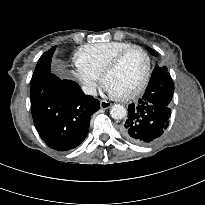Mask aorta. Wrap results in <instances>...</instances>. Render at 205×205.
<instances>
[{
    "instance_id": "1",
    "label": "aorta",
    "mask_w": 205,
    "mask_h": 205,
    "mask_svg": "<svg viewBox=\"0 0 205 205\" xmlns=\"http://www.w3.org/2000/svg\"><path fill=\"white\" fill-rule=\"evenodd\" d=\"M127 112L123 105L115 104L110 108V115L114 119H123Z\"/></svg>"
}]
</instances>
